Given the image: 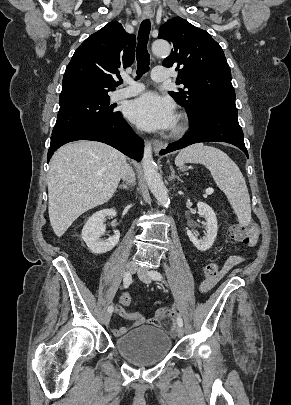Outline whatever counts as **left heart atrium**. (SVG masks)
I'll return each instance as SVG.
<instances>
[{"label":"left heart atrium","mask_w":291,"mask_h":405,"mask_svg":"<svg viewBox=\"0 0 291 405\" xmlns=\"http://www.w3.org/2000/svg\"><path fill=\"white\" fill-rule=\"evenodd\" d=\"M126 114L132 122L148 131L169 129L176 121L171 100L153 92H147L131 101Z\"/></svg>","instance_id":"obj_1"}]
</instances>
